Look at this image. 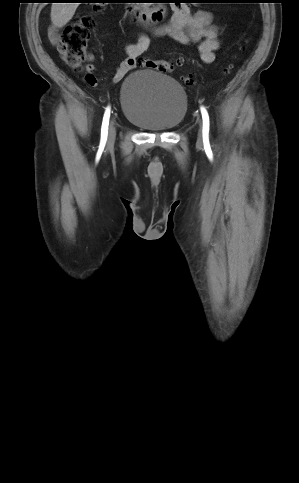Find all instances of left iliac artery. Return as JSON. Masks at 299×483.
<instances>
[{
  "label": "left iliac artery",
  "mask_w": 299,
  "mask_h": 483,
  "mask_svg": "<svg viewBox=\"0 0 299 483\" xmlns=\"http://www.w3.org/2000/svg\"><path fill=\"white\" fill-rule=\"evenodd\" d=\"M201 114L203 119V136L208 137L209 134V115L207 110L204 107H201Z\"/></svg>",
  "instance_id": "obj_1"
}]
</instances>
